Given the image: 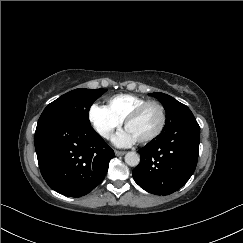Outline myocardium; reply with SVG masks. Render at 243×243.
I'll return each instance as SVG.
<instances>
[{
	"label": "myocardium",
	"instance_id": "f54148a6",
	"mask_svg": "<svg viewBox=\"0 0 243 243\" xmlns=\"http://www.w3.org/2000/svg\"><path fill=\"white\" fill-rule=\"evenodd\" d=\"M157 106L161 112V122L159 127L156 129L155 132H153L151 135H149L148 137L142 139V140H138L137 142L139 144H147L149 142H152L153 140H155L158 136L161 135V133L163 132L165 126H166V122H167V112H166V108L165 106L159 102V101H147L144 104H141L140 106L136 107L126 118H125V127L127 128V126L134 120H136L142 113L143 111L148 108L149 106Z\"/></svg>",
	"mask_w": 243,
	"mask_h": 243
}]
</instances>
